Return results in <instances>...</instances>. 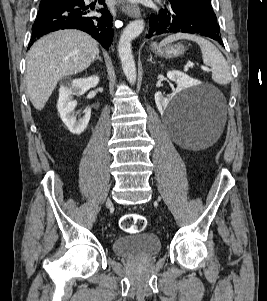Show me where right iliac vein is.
I'll use <instances>...</instances> for the list:
<instances>
[{
    "label": "right iliac vein",
    "mask_w": 267,
    "mask_h": 301,
    "mask_svg": "<svg viewBox=\"0 0 267 301\" xmlns=\"http://www.w3.org/2000/svg\"><path fill=\"white\" fill-rule=\"evenodd\" d=\"M107 204H108V205H109V204H111V201H110V200H108V201H107Z\"/></svg>",
    "instance_id": "63e3f726"
}]
</instances>
